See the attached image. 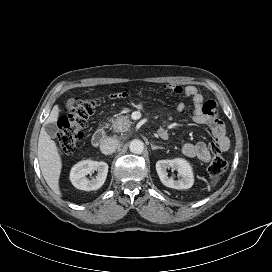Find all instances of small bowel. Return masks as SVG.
Returning a JSON list of instances; mask_svg holds the SVG:
<instances>
[{"instance_id": "1", "label": "small bowel", "mask_w": 272, "mask_h": 272, "mask_svg": "<svg viewBox=\"0 0 272 272\" xmlns=\"http://www.w3.org/2000/svg\"><path fill=\"white\" fill-rule=\"evenodd\" d=\"M165 88L171 90L177 95H183L192 101V120L199 125H206L213 139L219 145L222 151H227L230 147V140L226 134L223 122L218 118V109L214 101H205L203 95L195 86L182 87L179 85H168ZM128 96L126 92H120L110 95L111 99L125 98ZM74 99L67 102V107L73 106ZM177 111L181 112L185 109V104L179 102L176 107ZM161 131H167L161 129ZM167 138V136H166ZM165 138V139H166ZM183 153L188 157H196L202 162H209L211 160V153L208 145L204 141L196 143L187 142L182 146Z\"/></svg>"}]
</instances>
